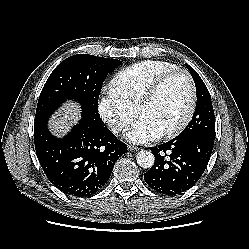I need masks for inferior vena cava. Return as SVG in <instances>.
<instances>
[{
  "mask_svg": "<svg viewBox=\"0 0 249 249\" xmlns=\"http://www.w3.org/2000/svg\"><path fill=\"white\" fill-rule=\"evenodd\" d=\"M112 128L115 129V130H119V129L122 128V125L121 124H113Z\"/></svg>",
  "mask_w": 249,
  "mask_h": 249,
  "instance_id": "inferior-vena-cava-1",
  "label": "inferior vena cava"
}]
</instances>
